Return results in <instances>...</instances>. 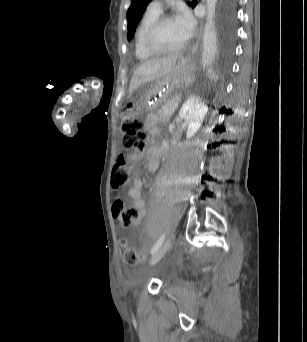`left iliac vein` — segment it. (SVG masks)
Wrapping results in <instances>:
<instances>
[{
	"label": "left iliac vein",
	"instance_id": "obj_1",
	"mask_svg": "<svg viewBox=\"0 0 307 342\" xmlns=\"http://www.w3.org/2000/svg\"><path fill=\"white\" fill-rule=\"evenodd\" d=\"M170 247H171V241L166 240L162 244V246H160V248L152 255V257L150 259V264L151 265L157 264L163 258V256L166 254L167 250Z\"/></svg>",
	"mask_w": 307,
	"mask_h": 342
}]
</instances>
